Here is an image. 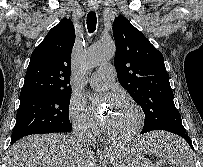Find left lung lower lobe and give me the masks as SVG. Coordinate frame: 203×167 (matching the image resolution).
Returning <instances> with one entry per match:
<instances>
[{
  "label": "left lung lower lobe",
  "instance_id": "1",
  "mask_svg": "<svg viewBox=\"0 0 203 167\" xmlns=\"http://www.w3.org/2000/svg\"><path fill=\"white\" fill-rule=\"evenodd\" d=\"M141 133H146V132L142 131ZM172 133L177 134V135L181 136L182 138H184L187 141V143L190 145V147L194 150V148L192 146V141L189 138V136L186 134V132L175 131V132H172Z\"/></svg>",
  "mask_w": 203,
  "mask_h": 167
}]
</instances>
